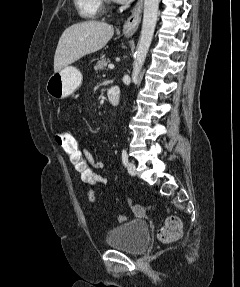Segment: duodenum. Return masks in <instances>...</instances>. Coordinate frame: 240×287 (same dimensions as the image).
I'll list each match as a JSON object with an SVG mask.
<instances>
[{
  "label": "duodenum",
  "instance_id": "1",
  "mask_svg": "<svg viewBox=\"0 0 240 287\" xmlns=\"http://www.w3.org/2000/svg\"><path fill=\"white\" fill-rule=\"evenodd\" d=\"M107 98L113 105L119 104L120 101V89L118 86H112L107 92Z\"/></svg>",
  "mask_w": 240,
  "mask_h": 287
}]
</instances>
